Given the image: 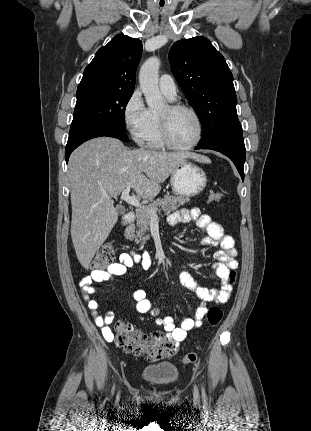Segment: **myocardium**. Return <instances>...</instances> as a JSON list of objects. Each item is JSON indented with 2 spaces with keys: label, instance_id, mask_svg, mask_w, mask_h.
Masks as SVG:
<instances>
[{
  "label": "myocardium",
  "instance_id": "obj_1",
  "mask_svg": "<svg viewBox=\"0 0 311 431\" xmlns=\"http://www.w3.org/2000/svg\"><path fill=\"white\" fill-rule=\"evenodd\" d=\"M180 111H188L192 113L199 123V134L197 139L188 145L177 144L171 133V119L172 117ZM159 128H160V138L162 142L173 149L176 150H190L199 145L205 134V122L201 114L194 107L181 103H171L167 107V112L159 114Z\"/></svg>",
  "mask_w": 311,
  "mask_h": 431
}]
</instances>
